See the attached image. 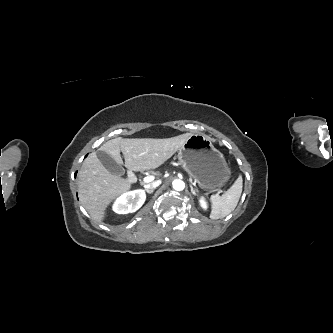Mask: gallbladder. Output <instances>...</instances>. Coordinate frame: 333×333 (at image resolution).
Here are the masks:
<instances>
[{
  "mask_svg": "<svg viewBox=\"0 0 333 333\" xmlns=\"http://www.w3.org/2000/svg\"><path fill=\"white\" fill-rule=\"evenodd\" d=\"M97 158L100 160V162L105 166L107 170H109L113 175L116 176H122L125 173V169L116 163L110 155H108L106 152L98 150L96 152Z\"/></svg>",
  "mask_w": 333,
  "mask_h": 333,
  "instance_id": "gallbladder-1",
  "label": "gallbladder"
}]
</instances>
